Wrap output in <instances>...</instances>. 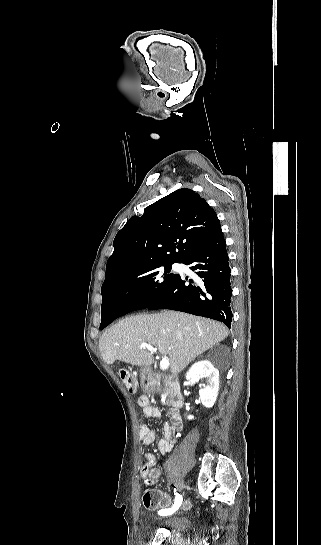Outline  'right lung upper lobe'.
I'll return each mask as SVG.
<instances>
[{"instance_id":"obj_1","label":"right lung upper lobe","mask_w":321,"mask_h":545,"mask_svg":"<svg viewBox=\"0 0 321 545\" xmlns=\"http://www.w3.org/2000/svg\"><path fill=\"white\" fill-rule=\"evenodd\" d=\"M219 227L215 211L199 194L187 188L172 192L117 233L102 289L160 264L181 263Z\"/></svg>"}]
</instances>
